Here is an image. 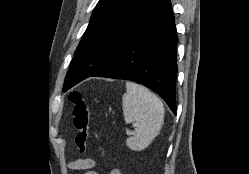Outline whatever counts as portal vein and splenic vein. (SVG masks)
<instances>
[{"mask_svg":"<svg viewBox=\"0 0 249 174\" xmlns=\"http://www.w3.org/2000/svg\"><path fill=\"white\" fill-rule=\"evenodd\" d=\"M126 133H127V135H131V134H132V132H131V131H127Z\"/></svg>","mask_w":249,"mask_h":174,"instance_id":"18ae733b","label":"portal vein and splenic vein"}]
</instances>
